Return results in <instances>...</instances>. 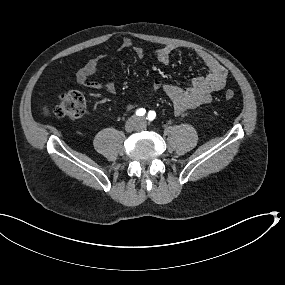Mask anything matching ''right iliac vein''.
Masks as SVG:
<instances>
[{
  "instance_id": "right-iliac-vein-1",
  "label": "right iliac vein",
  "mask_w": 285,
  "mask_h": 285,
  "mask_svg": "<svg viewBox=\"0 0 285 285\" xmlns=\"http://www.w3.org/2000/svg\"><path fill=\"white\" fill-rule=\"evenodd\" d=\"M126 128H127L128 130L131 129V128H132V124H131L130 122H127Z\"/></svg>"
}]
</instances>
